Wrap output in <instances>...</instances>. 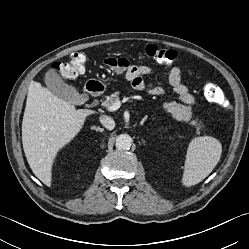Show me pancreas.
Here are the masks:
<instances>
[{"label":"pancreas","instance_id":"cf45deb5","mask_svg":"<svg viewBox=\"0 0 249 249\" xmlns=\"http://www.w3.org/2000/svg\"><path fill=\"white\" fill-rule=\"evenodd\" d=\"M120 92L116 91L106 98L105 101L102 102L104 107H111L114 102L119 100ZM163 109L170 113L172 117L178 121H184L192 126H196L197 130H200L201 125L198 124L197 120H192V112L191 107H187L182 104H178L176 102L164 103Z\"/></svg>","mask_w":249,"mask_h":249}]
</instances>
